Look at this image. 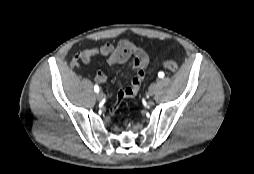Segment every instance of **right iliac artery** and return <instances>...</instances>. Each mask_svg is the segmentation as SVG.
<instances>
[{
  "mask_svg": "<svg viewBox=\"0 0 254 174\" xmlns=\"http://www.w3.org/2000/svg\"><path fill=\"white\" fill-rule=\"evenodd\" d=\"M94 91H95L96 93L99 92V87H98V85H95V86H94Z\"/></svg>",
  "mask_w": 254,
  "mask_h": 174,
  "instance_id": "82829eb1",
  "label": "right iliac artery"
}]
</instances>
